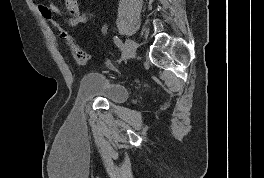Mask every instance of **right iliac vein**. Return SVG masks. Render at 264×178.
Returning <instances> with one entry per match:
<instances>
[{"mask_svg": "<svg viewBox=\"0 0 264 178\" xmlns=\"http://www.w3.org/2000/svg\"><path fill=\"white\" fill-rule=\"evenodd\" d=\"M135 50V43L132 39H127L125 43L124 53L122 56V60H127L129 56L134 52Z\"/></svg>", "mask_w": 264, "mask_h": 178, "instance_id": "63e3f726", "label": "right iliac vein"}]
</instances>
